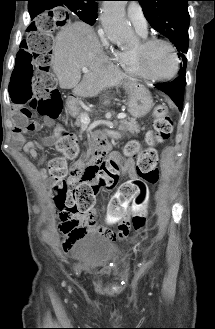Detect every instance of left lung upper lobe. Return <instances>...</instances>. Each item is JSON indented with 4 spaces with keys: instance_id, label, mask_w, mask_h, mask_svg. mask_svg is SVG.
Instances as JSON below:
<instances>
[{
    "instance_id": "1",
    "label": "left lung upper lobe",
    "mask_w": 215,
    "mask_h": 329,
    "mask_svg": "<svg viewBox=\"0 0 215 329\" xmlns=\"http://www.w3.org/2000/svg\"><path fill=\"white\" fill-rule=\"evenodd\" d=\"M142 6L144 16L150 25L167 37L178 50L181 60L179 75L186 70L188 50V28L190 17L188 1L190 0H137Z\"/></svg>"
}]
</instances>
